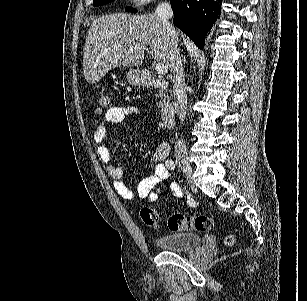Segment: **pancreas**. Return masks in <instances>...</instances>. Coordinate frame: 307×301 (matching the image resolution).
Here are the masks:
<instances>
[{"label": "pancreas", "mask_w": 307, "mask_h": 301, "mask_svg": "<svg viewBox=\"0 0 307 301\" xmlns=\"http://www.w3.org/2000/svg\"><path fill=\"white\" fill-rule=\"evenodd\" d=\"M162 96H163V92H161V90H159L158 94H156V98H160V100H158L157 104L158 106H162Z\"/></svg>", "instance_id": "cf45deb5"}]
</instances>
